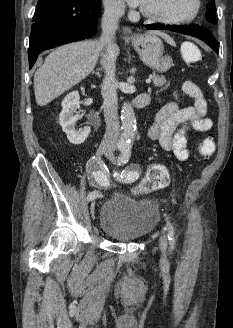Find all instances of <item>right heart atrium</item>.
Here are the masks:
<instances>
[{
    "label": "right heart atrium",
    "instance_id": "obj_1",
    "mask_svg": "<svg viewBox=\"0 0 233 328\" xmlns=\"http://www.w3.org/2000/svg\"><path fill=\"white\" fill-rule=\"evenodd\" d=\"M104 9L111 16L118 15L122 10V4L116 0H104Z\"/></svg>",
    "mask_w": 233,
    "mask_h": 328
}]
</instances>
